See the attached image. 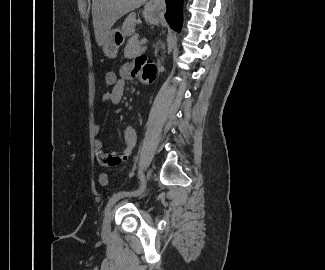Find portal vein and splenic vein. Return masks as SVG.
<instances>
[{"mask_svg": "<svg viewBox=\"0 0 325 270\" xmlns=\"http://www.w3.org/2000/svg\"><path fill=\"white\" fill-rule=\"evenodd\" d=\"M142 43H143V44H146V43H147V39H143V40H142Z\"/></svg>", "mask_w": 325, "mask_h": 270, "instance_id": "18ae733b", "label": "portal vein and splenic vein"}]
</instances>
